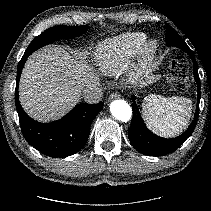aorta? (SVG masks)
<instances>
[{
    "label": "aorta",
    "mask_w": 211,
    "mask_h": 211,
    "mask_svg": "<svg viewBox=\"0 0 211 211\" xmlns=\"http://www.w3.org/2000/svg\"><path fill=\"white\" fill-rule=\"evenodd\" d=\"M110 111L113 117L123 122L129 121L132 116L130 105L122 99H117L111 102Z\"/></svg>",
    "instance_id": "obj_1"
}]
</instances>
